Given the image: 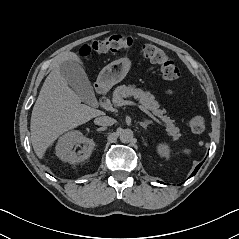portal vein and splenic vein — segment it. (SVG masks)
<instances>
[{"mask_svg":"<svg viewBox=\"0 0 239 239\" xmlns=\"http://www.w3.org/2000/svg\"><path fill=\"white\" fill-rule=\"evenodd\" d=\"M116 105L117 106H123V105H136V103L132 102V101H125L123 99H120L118 101H116ZM138 108L143 111L144 113H146L148 116H150L151 118H153L156 122L161 123L157 118H155L146 108H144L143 106L137 104Z\"/></svg>","mask_w":239,"mask_h":239,"instance_id":"obj_1","label":"portal vein and splenic vein"}]
</instances>
